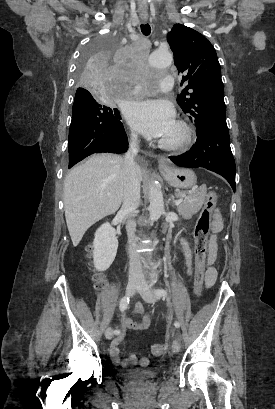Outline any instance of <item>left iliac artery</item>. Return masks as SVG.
Returning <instances> with one entry per match:
<instances>
[{
    "label": "left iliac artery",
    "instance_id": "left-iliac-artery-1",
    "mask_svg": "<svg viewBox=\"0 0 275 409\" xmlns=\"http://www.w3.org/2000/svg\"><path fill=\"white\" fill-rule=\"evenodd\" d=\"M156 281H157V280H156L155 278L152 279L151 282H150V285L153 286V285L156 283ZM154 293H155L157 296L163 297V298L167 297V295H168L167 291H166L165 289H162V288L155 289V290H154ZM174 326H175L176 328H179V327H180L179 322H178V321H175V322H174Z\"/></svg>",
    "mask_w": 275,
    "mask_h": 409
}]
</instances>
